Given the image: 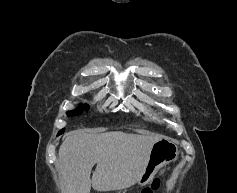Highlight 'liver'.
I'll return each instance as SVG.
<instances>
[{
  "instance_id": "liver-1",
  "label": "liver",
  "mask_w": 237,
  "mask_h": 193,
  "mask_svg": "<svg viewBox=\"0 0 237 193\" xmlns=\"http://www.w3.org/2000/svg\"><path fill=\"white\" fill-rule=\"evenodd\" d=\"M158 136L122 131L68 133L59 148L61 193H90L127 189L140 178ZM97 164L92 180L90 174Z\"/></svg>"
}]
</instances>
